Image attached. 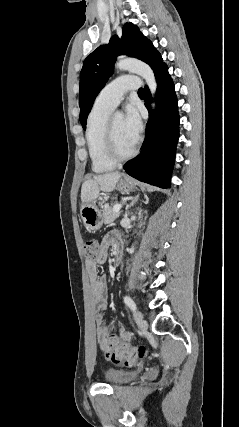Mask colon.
<instances>
[{
    "label": "colon",
    "instance_id": "5ec220e1",
    "mask_svg": "<svg viewBox=\"0 0 239 427\" xmlns=\"http://www.w3.org/2000/svg\"><path fill=\"white\" fill-rule=\"evenodd\" d=\"M83 251L88 260L95 259L99 251L98 240L89 239L85 241ZM110 352L114 363H124L127 366H133L147 356L148 350L145 346L134 347L128 343L112 339Z\"/></svg>",
    "mask_w": 239,
    "mask_h": 427
}]
</instances>
